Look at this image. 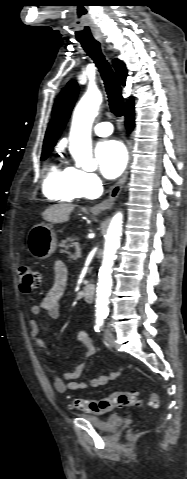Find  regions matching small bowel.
I'll return each mask as SVG.
<instances>
[{
    "label": "small bowel",
    "mask_w": 187,
    "mask_h": 479,
    "mask_svg": "<svg viewBox=\"0 0 187 479\" xmlns=\"http://www.w3.org/2000/svg\"><path fill=\"white\" fill-rule=\"evenodd\" d=\"M67 280L68 271L66 266L62 262H57L54 268V281L51 288L43 297L40 304L33 305L30 308V334L35 346L46 356H49V352L45 342L39 335L40 325L37 317L40 315L42 310H44L49 318H59L61 313V300L67 286ZM76 338L78 342L86 349L85 358L73 371H68L64 372L62 375L53 376L52 384L58 393H65L68 390L82 391L88 387L98 388L105 385L109 381L114 380L122 372V368H119L116 372L101 374L91 379L89 382L77 381V379L86 370L90 359L95 355L96 346L92 337L84 330H78L76 333Z\"/></svg>",
    "instance_id": "obj_1"
}]
</instances>
